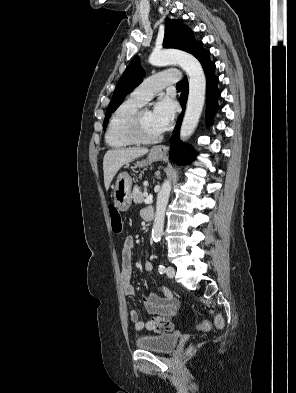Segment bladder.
Wrapping results in <instances>:
<instances>
[{
  "label": "bladder",
  "mask_w": 296,
  "mask_h": 393,
  "mask_svg": "<svg viewBox=\"0 0 296 393\" xmlns=\"http://www.w3.org/2000/svg\"><path fill=\"white\" fill-rule=\"evenodd\" d=\"M176 334L151 335L138 338L135 342L139 349L159 354H170L177 346Z\"/></svg>",
  "instance_id": "obj_1"
}]
</instances>
